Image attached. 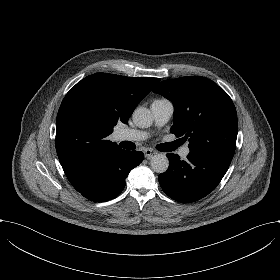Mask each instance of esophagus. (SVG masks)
Instances as JSON below:
<instances>
[{
	"instance_id": "1",
	"label": "esophagus",
	"mask_w": 280,
	"mask_h": 280,
	"mask_svg": "<svg viewBox=\"0 0 280 280\" xmlns=\"http://www.w3.org/2000/svg\"><path fill=\"white\" fill-rule=\"evenodd\" d=\"M154 154H156V151L152 148H147V149L144 150V155L147 159L152 157Z\"/></svg>"
}]
</instances>
